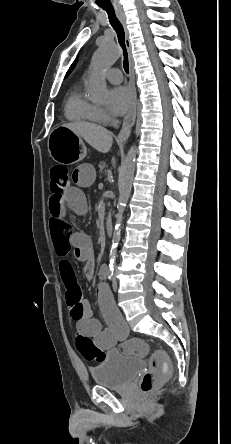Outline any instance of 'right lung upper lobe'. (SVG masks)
<instances>
[{"label": "right lung upper lobe", "instance_id": "obj_1", "mask_svg": "<svg viewBox=\"0 0 231 444\" xmlns=\"http://www.w3.org/2000/svg\"><path fill=\"white\" fill-rule=\"evenodd\" d=\"M76 61H77V60H75L74 63L71 65V67L69 68V70H68L66 76H68V74L73 70V68H74V66H75V64H76Z\"/></svg>", "mask_w": 231, "mask_h": 444}]
</instances>
